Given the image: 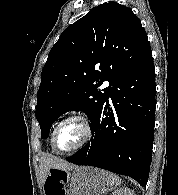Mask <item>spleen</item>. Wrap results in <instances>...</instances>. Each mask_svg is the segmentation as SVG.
<instances>
[{"label": "spleen", "mask_w": 178, "mask_h": 195, "mask_svg": "<svg viewBox=\"0 0 178 195\" xmlns=\"http://www.w3.org/2000/svg\"><path fill=\"white\" fill-rule=\"evenodd\" d=\"M102 173L105 176V180L109 186L117 187L121 184L122 180L118 175L107 171H102Z\"/></svg>", "instance_id": "3e777b00"}]
</instances>
